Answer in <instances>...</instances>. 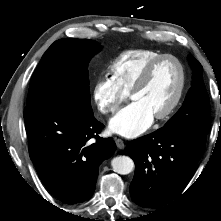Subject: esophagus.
Segmentation results:
<instances>
[{
	"label": "esophagus",
	"mask_w": 221,
	"mask_h": 221,
	"mask_svg": "<svg viewBox=\"0 0 221 221\" xmlns=\"http://www.w3.org/2000/svg\"><path fill=\"white\" fill-rule=\"evenodd\" d=\"M115 142H116V145H117V147H118L119 149H124V148H125V144H124L123 140H121V139H116Z\"/></svg>",
	"instance_id": "obj_1"
}]
</instances>
